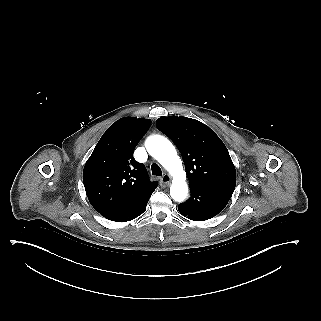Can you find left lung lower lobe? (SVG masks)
Wrapping results in <instances>:
<instances>
[{"label":"left lung lower lobe","mask_w":321,"mask_h":321,"mask_svg":"<svg viewBox=\"0 0 321 321\" xmlns=\"http://www.w3.org/2000/svg\"><path fill=\"white\" fill-rule=\"evenodd\" d=\"M235 186L236 182H217L190 186L191 197L185 203L179 204L178 210L190 220H208L224 209Z\"/></svg>","instance_id":"obj_1"}]
</instances>
